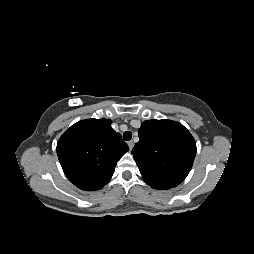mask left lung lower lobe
<instances>
[{
  "instance_id": "0a47b994",
  "label": "left lung lower lobe",
  "mask_w": 254,
  "mask_h": 254,
  "mask_svg": "<svg viewBox=\"0 0 254 254\" xmlns=\"http://www.w3.org/2000/svg\"><path fill=\"white\" fill-rule=\"evenodd\" d=\"M151 187H153L155 189H161V190L169 189L167 187H160V186H151Z\"/></svg>"
}]
</instances>
